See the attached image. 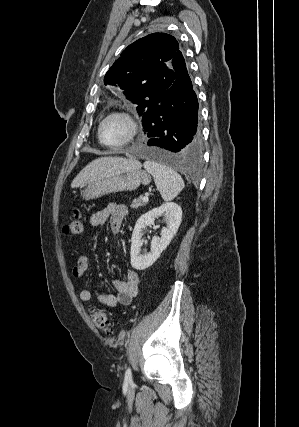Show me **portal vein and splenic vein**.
<instances>
[{
	"label": "portal vein and splenic vein",
	"instance_id": "portal-vein-and-splenic-vein-1",
	"mask_svg": "<svg viewBox=\"0 0 299 427\" xmlns=\"http://www.w3.org/2000/svg\"><path fill=\"white\" fill-rule=\"evenodd\" d=\"M142 200H143V202H148V196L146 195V196H144L143 198H142Z\"/></svg>",
	"mask_w": 299,
	"mask_h": 427
}]
</instances>
